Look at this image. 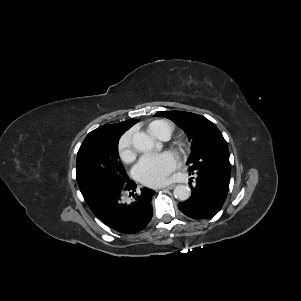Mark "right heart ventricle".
Listing matches in <instances>:
<instances>
[{
	"label": "right heart ventricle",
	"instance_id": "right-heart-ventricle-1",
	"mask_svg": "<svg viewBox=\"0 0 301 301\" xmlns=\"http://www.w3.org/2000/svg\"><path fill=\"white\" fill-rule=\"evenodd\" d=\"M147 129L153 136L160 139L164 132H168L169 136L172 134L173 125L166 120H155L148 125Z\"/></svg>",
	"mask_w": 301,
	"mask_h": 301
}]
</instances>
